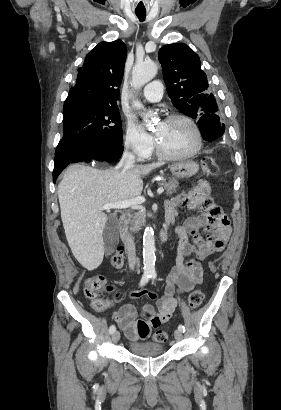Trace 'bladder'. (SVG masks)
<instances>
[{
	"instance_id": "obj_1",
	"label": "bladder",
	"mask_w": 281,
	"mask_h": 410,
	"mask_svg": "<svg viewBox=\"0 0 281 410\" xmlns=\"http://www.w3.org/2000/svg\"><path fill=\"white\" fill-rule=\"evenodd\" d=\"M129 351L136 356H157L164 353L162 345L154 342H132L129 344Z\"/></svg>"
}]
</instances>
